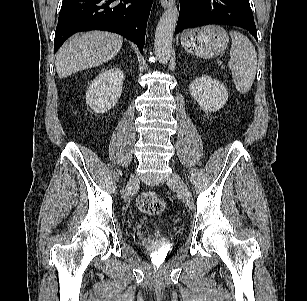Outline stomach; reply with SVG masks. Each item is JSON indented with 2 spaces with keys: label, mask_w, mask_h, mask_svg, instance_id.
<instances>
[{
  "label": "stomach",
  "mask_w": 307,
  "mask_h": 301,
  "mask_svg": "<svg viewBox=\"0 0 307 301\" xmlns=\"http://www.w3.org/2000/svg\"><path fill=\"white\" fill-rule=\"evenodd\" d=\"M229 37L224 28L208 25L190 29L181 36L183 48L193 55L202 58H213L225 51Z\"/></svg>",
  "instance_id": "0dacf381"
}]
</instances>
